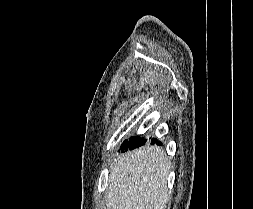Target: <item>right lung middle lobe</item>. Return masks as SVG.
<instances>
[{"mask_svg": "<svg viewBox=\"0 0 253 209\" xmlns=\"http://www.w3.org/2000/svg\"><path fill=\"white\" fill-rule=\"evenodd\" d=\"M145 140L140 138V137H131L128 140H125L121 146V150L123 151H127L128 149H134L137 148L139 146L144 145Z\"/></svg>", "mask_w": 253, "mask_h": 209, "instance_id": "1", "label": "right lung middle lobe"}]
</instances>
